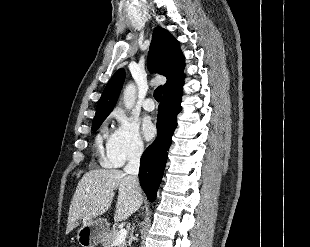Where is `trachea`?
<instances>
[{"instance_id": "3493384b", "label": "trachea", "mask_w": 310, "mask_h": 247, "mask_svg": "<svg viewBox=\"0 0 310 247\" xmlns=\"http://www.w3.org/2000/svg\"><path fill=\"white\" fill-rule=\"evenodd\" d=\"M162 93H163V88L162 86H159L155 89L154 91V98L156 101H160L161 100V97H162Z\"/></svg>"}]
</instances>
